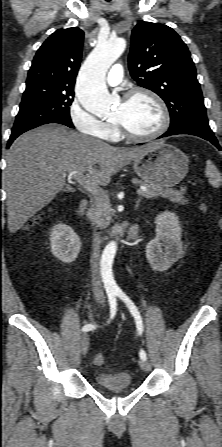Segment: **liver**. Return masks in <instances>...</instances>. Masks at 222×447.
I'll list each match as a JSON object with an SVG mask.
<instances>
[{
	"instance_id": "1",
	"label": "liver",
	"mask_w": 222,
	"mask_h": 447,
	"mask_svg": "<svg viewBox=\"0 0 222 447\" xmlns=\"http://www.w3.org/2000/svg\"><path fill=\"white\" fill-rule=\"evenodd\" d=\"M145 151L146 146L113 147L56 124L22 134L7 152L3 176L9 231L17 232L48 205L71 172H77L76 180L106 186L113 174Z\"/></svg>"
}]
</instances>
